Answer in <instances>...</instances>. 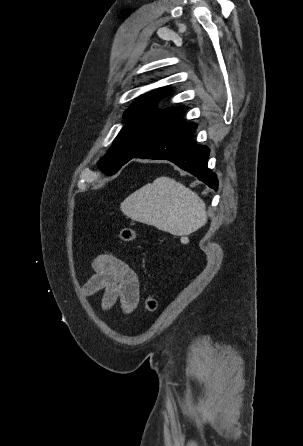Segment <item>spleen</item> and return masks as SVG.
I'll return each mask as SVG.
<instances>
[{
    "mask_svg": "<svg viewBox=\"0 0 303 446\" xmlns=\"http://www.w3.org/2000/svg\"><path fill=\"white\" fill-rule=\"evenodd\" d=\"M120 208L130 219L174 236L189 235L207 222L204 201L183 184L164 176L129 195Z\"/></svg>",
    "mask_w": 303,
    "mask_h": 446,
    "instance_id": "obj_1",
    "label": "spleen"
}]
</instances>
